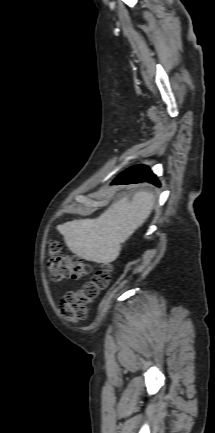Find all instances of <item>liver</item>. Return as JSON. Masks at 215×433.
Returning a JSON list of instances; mask_svg holds the SVG:
<instances>
[{"mask_svg":"<svg viewBox=\"0 0 215 433\" xmlns=\"http://www.w3.org/2000/svg\"><path fill=\"white\" fill-rule=\"evenodd\" d=\"M156 203L148 191L137 192L113 203L95 219H80L58 225L71 252L95 263L109 264L120 255L122 244L147 220Z\"/></svg>","mask_w":215,"mask_h":433,"instance_id":"liver-1","label":"liver"}]
</instances>
